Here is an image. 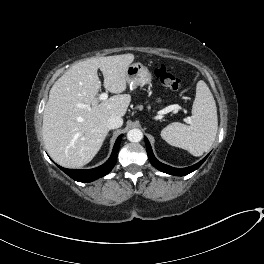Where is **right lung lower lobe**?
Returning <instances> with one entry per match:
<instances>
[{
    "instance_id": "obj_1",
    "label": "right lung lower lobe",
    "mask_w": 264,
    "mask_h": 264,
    "mask_svg": "<svg viewBox=\"0 0 264 264\" xmlns=\"http://www.w3.org/2000/svg\"><path fill=\"white\" fill-rule=\"evenodd\" d=\"M121 139H122V135H120L117 138L110 158L103 165L97 168L89 169V170L66 169L63 167H60V168L72 179L79 181V182H91L100 177H103L107 175L116 164L117 153L119 150Z\"/></svg>"
}]
</instances>
